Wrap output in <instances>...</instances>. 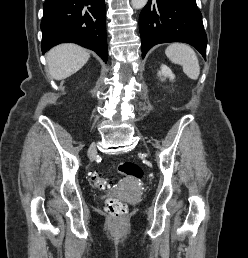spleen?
I'll return each instance as SVG.
<instances>
[{
  "label": "spleen",
  "instance_id": "spleen-1",
  "mask_svg": "<svg viewBox=\"0 0 248 258\" xmlns=\"http://www.w3.org/2000/svg\"><path fill=\"white\" fill-rule=\"evenodd\" d=\"M166 56L175 64L182 65L183 72L192 80H197L200 66L196 53L187 44L173 43L165 50Z\"/></svg>",
  "mask_w": 248,
  "mask_h": 258
}]
</instances>
